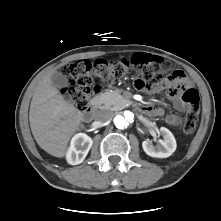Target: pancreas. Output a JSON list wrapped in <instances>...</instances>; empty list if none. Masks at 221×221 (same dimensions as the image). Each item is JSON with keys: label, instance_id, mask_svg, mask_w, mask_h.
Segmentation results:
<instances>
[{"label": "pancreas", "instance_id": "obj_1", "mask_svg": "<svg viewBox=\"0 0 221 221\" xmlns=\"http://www.w3.org/2000/svg\"><path fill=\"white\" fill-rule=\"evenodd\" d=\"M125 97L118 91H107L99 96V105L101 108L118 110L123 107Z\"/></svg>", "mask_w": 221, "mask_h": 221}]
</instances>
